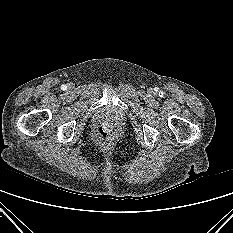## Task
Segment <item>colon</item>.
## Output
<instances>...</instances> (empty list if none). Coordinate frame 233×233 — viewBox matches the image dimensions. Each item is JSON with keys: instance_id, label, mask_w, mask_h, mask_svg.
I'll use <instances>...</instances> for the list:
<instances>
[{"instance_id": "colon-1", "label": "colon", "mask_w": 233, "mask_h": 233, "mask_svg": "<svg viewBox=\"0 0 233 233\" xmlns=\"http://www.w3.org/2000/svg\"><path fill=\"white\" fill-rule=\"evenodd\" d=\"M98 138L103 143H109L114 138V131L108 126H100L97 130Z\"/></svg>"}]
</instances>
